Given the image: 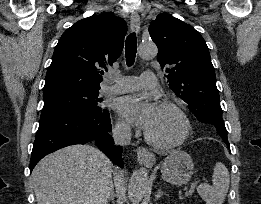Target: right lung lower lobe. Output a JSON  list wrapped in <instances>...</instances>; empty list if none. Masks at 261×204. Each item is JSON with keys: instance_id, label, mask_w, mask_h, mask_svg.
Segmentation results:
<instances>
[{"instance_id": "right-lung-lower-lobe-1", "label": "right lung lower lobe", "mask_w": 261, "mask_h": 204, "mask_svg": "<svg viewBox=\"0 0 261 204\" xmlns=\"http://www.w3.org/2000/svg\"><path fill=\"white\" fill-rule=\"evenodd\" d=\"M108 110L102 107H61L41 112L30 161V171L47 154L60 148L85 144L96 145L120 167L122 148L113 145Z\"/></svg>"}]
</instances>
